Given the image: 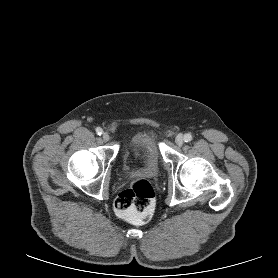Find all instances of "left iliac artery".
<instances>
[{
	"label": "left iliac artery",
	"mask_w": 278,
	"mask_h": 278,
	"mask_svg": "<svg viewBox=\"0 0 278 278\" xmlns=\"http://www.w3.org/2000/svg\"><path fill=\"white\" fill-rule=\"evenodd\" d=\"M193 138H192V135L191 134H185L184 135V141L185 142H190L191 140H192Z\"/></svg>",
	"instance_id": "44dca946"
}]
</instances>
